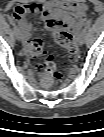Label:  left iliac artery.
I'll use <instances>...</instances> for the list:
<instances>
[{"instance_id": "obj_1", "label": "left iliac artery", "mask_w": 104, "mask_h": 137, "mask_svg": "<svg viewBox=\"0 0 104 137\" xmlns=\"http://www.w3.org/2000/svg\"><path fill=\"white\" fill-rule=\"evenodd\" d=\"M90 25H91V21H90V20H88V21H87V23H86L85 28L83 29V32H82V33H85V32H86V30L90 27Z\"/></svg>"}]
</instances>
